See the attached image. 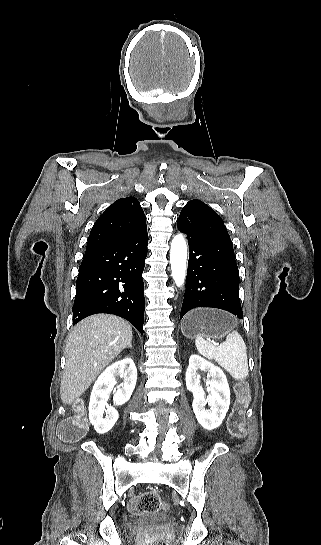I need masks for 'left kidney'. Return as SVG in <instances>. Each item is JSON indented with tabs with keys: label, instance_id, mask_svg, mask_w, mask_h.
Segmentation results:
<instances>
[{
	"label": "left kidney",
	"instance_id": "5707ae66",
	"mask_svg": "<svg viewBox=\"0 0 321 545\" xmlns=\"http://www.w3.org/2000/svg\"><path fill=\"white\" fill-rule=\"evenodd\" d=\"M197 369L205 371L207 377H211L210 381H208L211 393L207 399L205 391L200 385V375H198ZM185 381L188 391L193 393L192 407L201 427L207 429V431H212V429L220 427L230 405V389L226 375H224L222 369L215 367L209 361H205L199 355H191ZM206 403H209L211 407L210 411H206Z\"/></svg>",
	"mask_w": 321,
	"mask_h": 545
}]
</instances>
